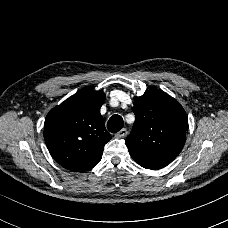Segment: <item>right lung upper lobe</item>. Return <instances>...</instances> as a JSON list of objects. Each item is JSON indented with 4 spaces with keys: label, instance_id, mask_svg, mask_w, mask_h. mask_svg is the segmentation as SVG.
I'll return each instance as SVG.
<instances>
[{
    "label": "right lung upper lobe",
    "instance_id": "right-lung-upper-lobe-1",
    "mask_svg": "<svg viewBox=\"0 0 228 228\" xmlns=\"http://www.w3.org/2000/svg\"><path fill=\"white\" fill-rule=\"evenodd\" d=\"M104 101V92L85 87L46 116L45 143L62 167L85 172L101 160L104 145L111 139L100 114Z\"/></svg>",
    "mask_w": 228,
    "mask_h": 228
}]
</instances>
